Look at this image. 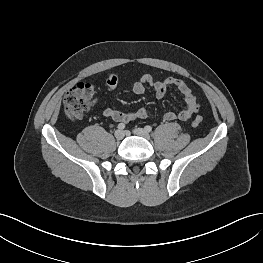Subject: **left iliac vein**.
<instances>
[{
    "label": "left iliac vein",
    "mask_w": 263,
    "mask_h": 263,
    "mask_svg": "<svg viewBox=\"0 0 263 263\" xmlns=\"http://www.w3.org/2000/svg\"><path fill=\"white\" fill-rule=\"evenodd\" d=\"M133 133L135 135H138V136H141V137H144L146 139H149L150 138V134L143 128H135L133 130Z\"/></svg>",
    "instance_id": "obj_1"
}]
</instances>
